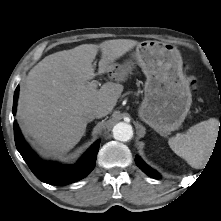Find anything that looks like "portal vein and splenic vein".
Segmentation results:
<instances>
[{"label":"portal vein and splenic vein","instance_id":"portal-vein-and-splenic-vein-1","mask_svg":"<svg viewBox=\"0 0 221 221\" xmlns=\"http://www.w3.org/2000/svg\"><path fill=\"white\" fill-rule=\"evenodd\" d=\"M90 85L96 88L98 86V82L92 81V82H90Z\"/></svg>","mask_w":221,"mask_h":221}]
</instances>
